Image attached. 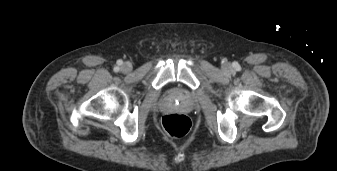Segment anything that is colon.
I'll use <instances>...</instances> for the list:
<instances>
[{
  "instance_id": "obj_1",
  "label": "colon",
  "mask_w": 337,
  "mask_h": 171,
  "mask_svg": "<svg viewBox=\"0 0 337 171\" xmlns=\"http://www.w3.org/2000/svg\"><path fill=\"white\" fill-rule=\"evenodd\" d=\"M164 130L173 137H183L191 129V120L182 114H167L162 119Z\"/></svg>"
}]
</instances>
